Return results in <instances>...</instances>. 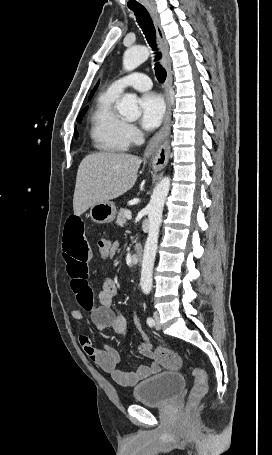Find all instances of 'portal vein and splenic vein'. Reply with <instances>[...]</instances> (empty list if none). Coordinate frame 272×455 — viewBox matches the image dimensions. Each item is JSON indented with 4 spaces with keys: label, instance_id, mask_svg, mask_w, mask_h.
<instances>
[{
    "label": "portal vein and splenic vein",
    "instance_id": "portal-vein-and-splenic-vein-1",
    "mask_svg": "<svg viewBox=\"0 0 272 455\" xmlns=\"http://www.w3.org/2000/svg\"><path fill=\"white\" fill-rule=\"evenodd\" d=\"M125 215H126V218H127L128 220H130V219L132 218V213H131V211H129V210L126 212Z\"/></svg>",
    "mask_w": 272,
    "mask_h": 455
}]
</instances>
